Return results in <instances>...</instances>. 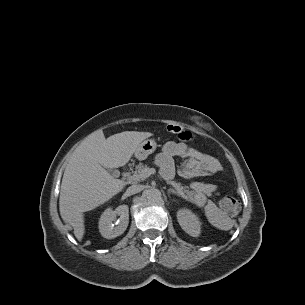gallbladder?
Instances as JSON below:
<instances>
[{"mask_svg": "<svg viewBox=\"0 0 305 305\" xmlns=\"http://www.w3.org/2000/svg\"><path fill=\"white\" fill-rule=\"evenodd\" d=\"M109 172H110L112 175H114V176L117 175V172H116L115 170L109 169Z\"/></svg>", "mask_w": 305, "mask_h": 305, "instance_id": "gallbladder-1", "label": "gallbladder"}]
</instances>
